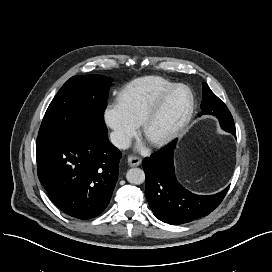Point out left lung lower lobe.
Masks as SVG:
<instances>
[{
    "mask_svg": "<svg viewBox=\"0 0 272 272\" xmlns=\"http://www.w3.org/2000/svg\"><path fill=\"white\" fill-rule=\"evenodd\" d=\"M217 118L225 131L236 136L235 129L230 126L233 120L231 113H223ZM176 142L177 139L143 160L145 195L149 206L156 218L171 225L188 223L210 214L221 203L229 188L214 195H196L186 190L177 181L174 172L173 151Z\"/></svg>",
    "mask_w": 272,
    "mask_h": 272,
    "instance_id": "left-lung-lower-lobe-1",
    "label": "left lung lower lobe"
}]
</instances>
